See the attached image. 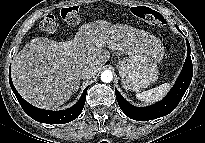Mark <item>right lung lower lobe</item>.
<instances>
[{
    "mask_svg": "<svg viewBox=\"0 0 205 143\" xmlns=\"http://www.w3.org/2000/svg\"><path fill=\"white\" fill-rule=\"evenodd\" d=\"M9 83L23 110L34 120L48 124H64L76 119L84 107L87 90L89 88L88 86L84 89L79 101L71 108L62 111H50L34 107L25 101L15 89L10 74Z\"/></svg>",
    "mask_w": 205,
    "mask_h": 143,
    "instance_id": "1",
    "label": "right lung lower lobe"
}]
</instances>
